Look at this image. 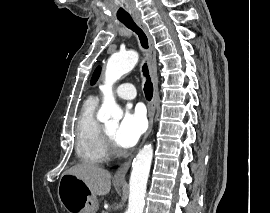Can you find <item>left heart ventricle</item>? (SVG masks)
<instances>
[{
	"label": "left heart ventricle",
	"mask_w": 270,
	"mask_h": 213,
	"mask_svg": "<svg viewBox=\"0 0 270 213\" xmlns=\"http://www.w3.org/2000/svg\"><path fill=\"white\" fill-rule=\"evenodd\" d=\"M106 130L109 132V134L112 136L113 140H114V134H115V131L117 129V125L116 124H113V125H107L105 126ZM115 142V140H114Z\"/></svg>",
	"instance_id": "b2bd125f"
}]
</instances>
